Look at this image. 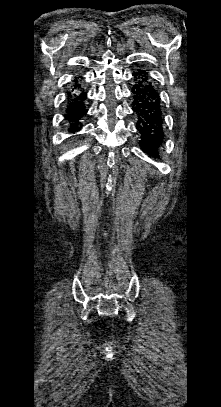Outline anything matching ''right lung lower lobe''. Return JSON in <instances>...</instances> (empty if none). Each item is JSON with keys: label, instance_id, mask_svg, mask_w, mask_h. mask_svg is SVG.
Returning a JSON list of instances; mask_svg holds the SVG:
<instances>
[{"label": "right lung lower lobe", "instance_id": "obj_1", "mask_svg": "<svg viewBox=\"0 0 221 407\" xmlns=\"http://www.w3.org/2000/svg\"><path fill=\"white\" fill-rule=\"evenodd\" d=\"M86 98L87 94L81 83L78 80L74 81L70 90L67 92V105L65 110V120L70 123L72 132L80 130V119L87 113L85 106Z\"/></svg>", "mask_w": 221, "mask_h": 407}]
</instances>
